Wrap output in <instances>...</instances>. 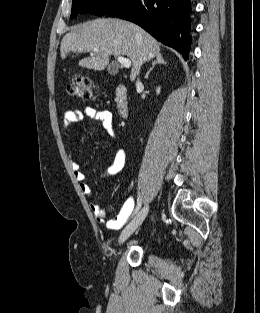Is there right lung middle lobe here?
Segmentation results:
<instances>
[{
	"instance_id": "1",
	"label": "right lung middle lobe",
	"mask_w": 260,
	"mask_h": 313,
	"mask_svg": "<svg viewBox=\"0 0 260 313\" xmlns=\"http://www.w3.org/2000/svg\"><path fill=\"white\" fill-rule=\"evenodd\" d=\"M126 0H72L71 18L78 14L106 15Z\"/></svg>"
}]
</instances>
